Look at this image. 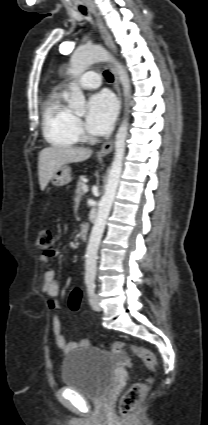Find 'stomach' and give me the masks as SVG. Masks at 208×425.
<instances>
[{
    "label": "stomach",
    "mask_w": 208,
    "mask_h": 425,
    "mask_svg": "<svg viewBox=\"0 0 208 425\" xmlns=\"http://www.w3.org/2000/svg\"><path fill=\"white\" fill-rule=\"evenodd\" d=\"M71 178V168L67 165L61 166L52 176L51 182L54 186L60 187L65 186L70 183Z\"/></svg>",
    "instance_id": "stomach-1"
}]
</instances>
